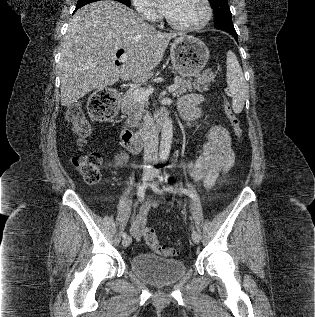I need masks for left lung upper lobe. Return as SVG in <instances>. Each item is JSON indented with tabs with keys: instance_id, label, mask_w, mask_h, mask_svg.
I'll return each mask as SVG.
<instances>
[{
	"instance_id": "left-lung-upper-lobe-1",
	"label": "left lung upper lobe",
	"mask_w": 315,
	"mask_h": 317,
	"mask_svg": "<svg viewBox=\"0 0 315 317\" xmlns=\"http://www.w3.org/2000/svg\"><path fill=\"white\" fill-rule=\"evenodd\" d=\"M214 11V26L222 30H235L228 0H209Z\"/></svg>"
}]
</instances>
